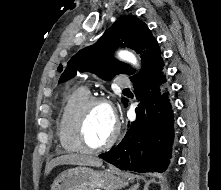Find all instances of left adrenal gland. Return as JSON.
Wrapping results in <instances>:
<instances>
[{
    "instance_id": "obj_1",
    "label": "left adrenal gland",
    "mask_w": 221,
    "mask_h": 190,
    "mask_svg": "<svg viewBox=\"0 0 221 190\" xmlns=\"http://www.w3.org/2000/svg\"><path fill=\"white\" fill-rule=\"evenodd\" d=\"M138 187H139V185H137V186H135L134 188H131V189H129V190H137Z\"/></svg>"
}]
</instances>
